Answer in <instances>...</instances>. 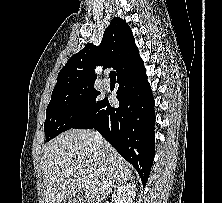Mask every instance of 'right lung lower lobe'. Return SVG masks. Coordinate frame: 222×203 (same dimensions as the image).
<instances>
[{
	"label": "right lung lower lobe",
	"instance_id": "98d812e1",
	"mask_svg": "<svg viewBox=\"0 0 222 203\" xmlns=\"http://www.w3.org/2000/svg\"><path fill=\"white\" fill-rule=\"evenodd\" d=\"M119 107L107 98L73 128L99 133L139 173L146 185L155 155L154 98L143 62L117 76Z\"/></svg>",
	"mask_w": 222,
	"mask_h": 203
}]
</instances>
